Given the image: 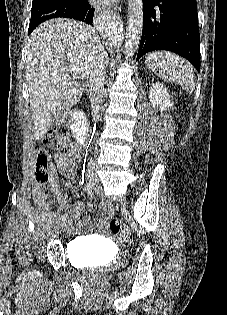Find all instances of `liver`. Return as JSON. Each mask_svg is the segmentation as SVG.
Masks as SVG:
<instances>
[{
  "mask_svg": "<svg viewBox=\"0 0 227 315\" xmlns=\"http://www.w3.org/2000/svg\"><path fill=\"white\" fill-rule=\"evenodd\" d=\"M100 47L105 51L94 28L71 19L49 20L32 32L26 80L37 140L44 138L53 116L77 104L82 88L75 79L82 74L70 70L83 68V79L90 77Z\"/></svg>",
  "mask_w": 227,
  "mask_h": 315,
  "instance_id": "1",
  "label": "liver"
}]
</instances>
